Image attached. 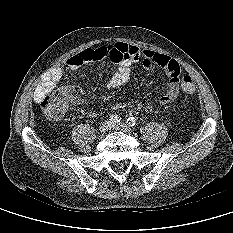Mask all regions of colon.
I'll list each match as a JSON object with an SVG mask.
<instances>
[{
    "mask_svg": "<svg viewBox=\"0 0 233 233\" xmlns=\"http://www.w3.org/2000/svg\"><path fill=\"white\" fill-rule=\"evenodd\" d=\"M180 87L186 94H192L194 92V84L189 75H184L181 78ZM71 94L72 89L70 87H61L53 93L45 95L40 101V104L49 117L58 118L65 110Z\"/></svg>",
    "mask_w": 233,
    "mask_h": 233,
    "instance_id": "5ec220e1",
    "label": "colon"
}]
</instances>
